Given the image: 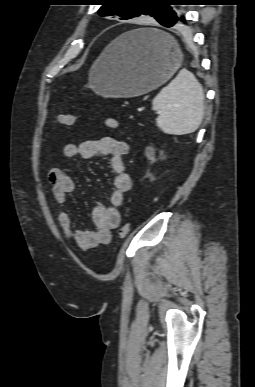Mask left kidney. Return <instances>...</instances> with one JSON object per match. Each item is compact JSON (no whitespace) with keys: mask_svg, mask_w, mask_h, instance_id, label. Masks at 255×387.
Segmentation results:
<instances>
[{"mask_svg":"<svg viewBox=\"0 0 255 387\" xmlns=\"http://www.w3.org/2000/svg\"><path fill=\"white\" fill-rule=\"evenodd\" d=\"M150 160L154 161V158L153 157H149Z\"/></svg>","mask_w":255,"mask_h":387,"instance_id":"1","label":"left kidney"}]
</instances>
